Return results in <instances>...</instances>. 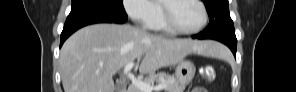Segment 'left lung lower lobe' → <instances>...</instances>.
<instances>
[{"label":"left lung lower lobe","mask_w":296,"mask_h":92,"mask_svg":"<svg viewBox=\"0 0 296 92\" xmlns=\"http://www.w3.org/2000/svg\"><path fill=\"white\" fill-rule=\"evenodd\" d=\"M192 38L218 40V41L226 44L231 49L234 56L236 57V47H237L236 36H218V37L208 38V37H206V35L204 33L201 32V33H199L197 35H193Z\"/></svg>","instance_id":"obj_1"}]
</instances>
